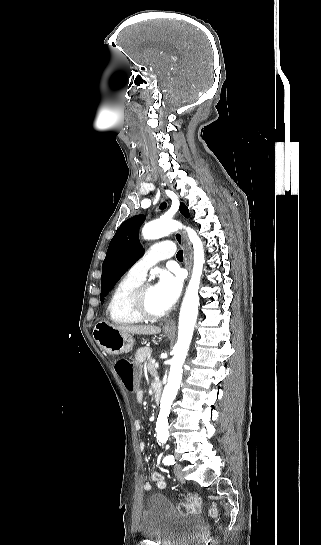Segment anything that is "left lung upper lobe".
I'll use <instances>...</instances> for the list:
<instances>
[{"label":"left lung upper lobe","mask_w":321,"mask_h":545,"mask_svg":"<svg viewBox=\"0 0 321 545\" xmlns=\"http://www.w3.org/2000/svg\"><path fill=\"white\" fill-rule=\"evenodd\" d=\"M163 203L160 209H164ZM180 212L189 217L188 208L180 204ZM145 220L144 215H137L124 221L112 238L102 266L101 301L117 283L121 276L142 256L143 249L138 240L139 228Z\"/></svg>","instance_id":"5c2ea615"}]
</instances>
